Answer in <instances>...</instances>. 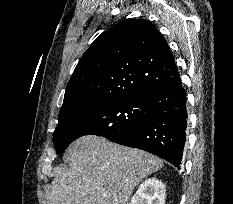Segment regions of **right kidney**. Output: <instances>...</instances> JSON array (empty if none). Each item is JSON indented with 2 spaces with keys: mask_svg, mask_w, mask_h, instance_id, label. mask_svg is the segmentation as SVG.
I'll use <instances>...</instances> for the list:
<instances>
[{
  "mask_svg": "<svg viewBox=\"0 0 233 204\" xmlns=\"http://www.w3.org/2000/svg\"><path fill=\"white\" fill-rule=\"evenodd\" d=\"M129 204H165V185L156 178L146 179Z\"/></svg>",
  "mask_w": 233,
  "mask_h": 204,
  "instance_id": "1",
  "label": "right kidney"
}]
</instances>
